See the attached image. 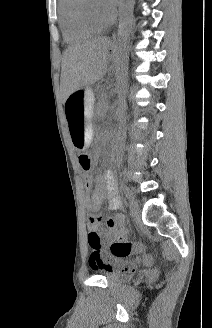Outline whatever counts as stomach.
I'll list each match as a JSON object with an SVG mask.
<instances>
[{
  "mask_svg": "<svg viewBox=\"0 0 212 328\" xmlns=\"http://www.w3.org/2000/svg\"><path fill=\"white\" fill-rule=\"evenodd\" d=\"M66 124L72 143L76 150L84 151L91 142L93 128L92 119L95 116L94 93L91 88H81L74 91L65 101ZM77 124V125H76Z\"/></svg>",
  "mask_w": 212,
  "mask_h": 328,
  "instance_id": "stomach-1",
  "label": "stomach"
}]
</instances>
